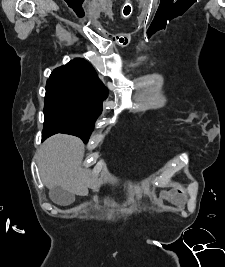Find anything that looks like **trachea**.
Returning a JSON list of instances; mask_svg holds the SVG:
<instances>
[{
    "label": "trachea",
    "instance_id": "3493384b",
    "mask_svg": "<svg viewBox=\"0 0 225 267\" xmlns=\"http://www.w3.org/2000/svg\"><path fill=\"white\" fill-rule=\"evenodd\" d=\"M125 10H126V7H125L124 10H123L124 15H128V14L125 13Z\"/></svg>",
    "mask_w": 225,
    "mask_h": 267
}]
</instances>
